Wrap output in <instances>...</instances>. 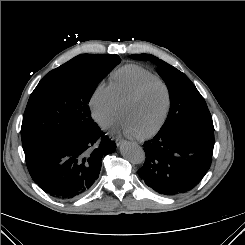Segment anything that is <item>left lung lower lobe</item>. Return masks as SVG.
Wrapping results in <instances>:
<instances>
[{
  "label": "left lung lower lobe",
  "instance_id": "obj_1",
  "mask_svg": "<svg viewBox=\"0 0 245 245\" xmlns=\"http://www.w3.org/2000/svg\"><path fill=\"white\" fill-rule=\"evenodd\" d=\"M146 160L138 174L164 195H179L196 186L210 168L214 130L181 123L144 143Z\"/></svg>",
  "mask_w": 245,
  "mask_h": 245
}]
</instances>
